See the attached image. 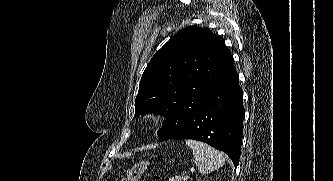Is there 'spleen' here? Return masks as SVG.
<instances>
[{
	"instance_id": "3e777b00",
	"label": "spleen",
	"mask_w": 333,
	"mask_h": 181,
	"mask_svg": "<svg viewBox=\"0 0 333 181\" xmlns=\"http://www.w3.org/2000/svg\"><path fill=\"white\" fill-rule=\"evenodd\" d=\"M186 144L192 149L201 174H208L224 165L223 154L208 144L195 140H186Z\"/></svg>"
}]
</instances>
